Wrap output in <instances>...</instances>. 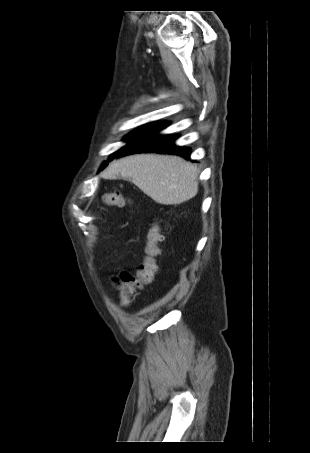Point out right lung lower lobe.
Listing matches in <instances>:
<instances>
[{
	"label": "right lung lower lobe",
	"mask_w": 310,
	"mask_h": 453,
	"mask_svg": "<svg viewBox=\"0 0 310 453\" xmlns=\"http://www.w3.org/2000/svg\"><path fill=\"white\" fill-rule=\"evenodd\" d=\"M168 126L167 122L158 121L151 124L135 140L127 145L116 157L141 153L157 152L180 155L186 159L190 157L191 151L187 147H180L174 144L176 135H158L157 133Z\"/></svg>",
	"instance_id": "obj_1"
}]
</instances>
